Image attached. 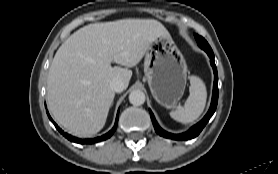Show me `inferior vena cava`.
<instances>
[{
	"label": "inferior vena cava",
	"mask_w": 278,
	"mask_h": 174,
	"mask_svg": "<svg viewBox=\"0 0 278 174\" xmlns=\"http://www.w3.org/2000/svg\"><path fill=\"white\" fill-rule=\"evenodd\" d=\"M110 88L114 91V92H122L125 89L124 83L121 79L119 78H115L110 82Z\"/></svg>",
	"instance_id": "obj_1"
}]
</instances>
